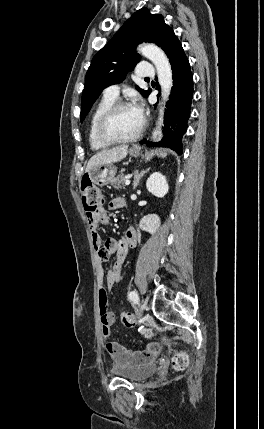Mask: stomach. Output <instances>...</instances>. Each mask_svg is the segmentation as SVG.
<instances>
[{"label":"stomach","mask_w":264,"mask_h":429,"mask_svg":"<svg viewBox=\"0 0 264 429\" xmlns=\"http://www.w3.org/2000/svg\"><path fill=\"white\" fill-rule=\"evenodd\" d=\"M129 153L132 157H138L140 155V150L132 148ZM157 154L162 157L166 156V152L161 150H159ZM116 173L117 167L110 163L95 166L89 172H86L83 177L89 179L92 184L104 186L111 182Z\"/></svg>","instance_id":"obj_1"}]
</instances>
